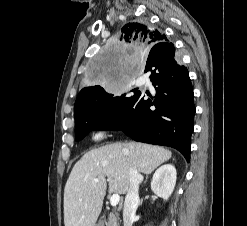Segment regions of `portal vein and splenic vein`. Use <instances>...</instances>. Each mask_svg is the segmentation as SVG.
Returning a JSON list of instances; mask_svg holds the SVG:
<instances>
[{
    "label": "portal vein and splenic vein",
    "mask_w": 247,
    "mask_h": 226,
    "mask_svg": "<svg viewBox=\"0 0 247 226\" xmlns=\"http://www.w3.org/2000/svg\"><path fill=\"white\" fill-rule=\"evenodd\" d=\"M98 181H99L98 179H95V180H94L95 183H97ZM119 201H120V196H119L118 193L113 194V195L111 196V198H110V204H111V206H116V205H118Z\"/></svg>",
    "instance_id": "1"
}]
</instances>
